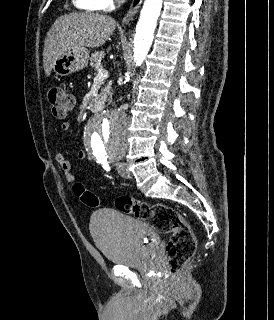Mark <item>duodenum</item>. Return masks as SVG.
Here are the masks:
<instances>
[{"instance_id":"1","label":"duodenum","mask_w":274,"mask_h":320,"mask_svg":"<svg viewBox=\"0 0 274 320\" xmlns=\"http://www.w3.org/2000/svg\"><path fill=\"white\" fill-rule=\"evenodd\" d=\"M90 107L94 111H101L103 109V102L100 98H93L90 102Z\"/></svg>"}]
</instances>
